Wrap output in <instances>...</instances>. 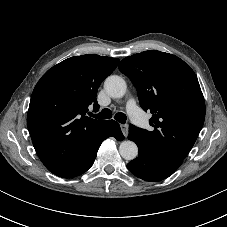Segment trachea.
<instances>
[{
  "instance_id": "obj_1",
  "label": "trachea",
  "mask_w": 227,
  "mask_h": 227,
  "mask_svg": "<svg viewBox=\"0 0 227 227\" xmlns=\"http://www.w3.org/2000/svg\"><path fill=\"white\" fill-rule=\"evenodd\" d=\"M92 116L97 119H110L112 117V112H111V110L105 108L100 113H98L96 115H92ZM114 119L122 124H125L127 117L124 113L118 112L114 116Z\"/></svg>"
}]
</instances>
